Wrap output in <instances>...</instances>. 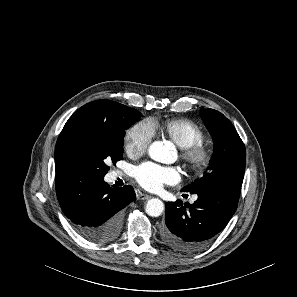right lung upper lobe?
Instances as JSON below:
<instances>
[{
  "label": "right lung upper lobe",
  "mask_w": 297,
  "mask_h": 297,
  "mask_svg": "<svg viewBox=\"0 0 297 297\" xmlns=\"http://www.w3.org/2000/svg\"><path fill=\"white\" fill-rule=\"evenodd\" d=\"M120 103L97 100L79 108L64 125L55 148L56 174L67 170L63 158V148L70 134L79 127L115 130L121 125Z\"/></svg>",
  "instance_id": "cb5924a9"
}]
</instances>
